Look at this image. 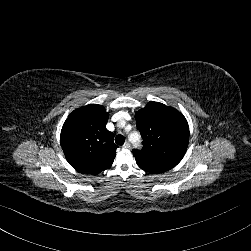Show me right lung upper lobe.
Here are the masks:
<instances>
[{"label":"right lung upper lobe","instance_id":"1","mask_svg":"<svg viewBox=\"0 0 251 251\" xmlns=\"http://www.w3.org/2000/svg\"><path fill=\"white\" fill-rule=\"evenodd\" d=\"M108 113L97 104L74 110L65 121L61 147L70 165L80 173L98 174L108 169L115 158L113 133L106 129Z\"/></svg>","mask_w":251,"mask_h":251}]
</instances>
